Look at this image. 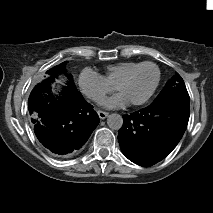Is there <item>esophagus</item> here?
I'll return each instance as SVG.
<instances>
[{
    "mask_svg": "<svg viewBox=\"0 0 213 213\" xmlns=\"http://www.w3.org/2000/svg\"><path fill=\"white\" fill-rule=\"evenodd\" d=\"M97 113H98L100 119H102V120L108 116V112L98 111Z\"/></svg>",
    "mask_w": 213,
    "mask_h": 213,
    "instance_id": "esophagus-1",
    "label": "esophagus"
}]
</instances>
